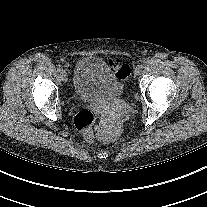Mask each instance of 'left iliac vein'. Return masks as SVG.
Wrapping results in <instances>:
<instances>
[{"instance_id": "obj_1", "label": "left iliac vein", "mask_w": 207, "mask_h": 207, "mask_svg": "<svg viewBox=\"0 0 207 207\" xmlns=\"http://www.w3.org/2000/svg\"><path fill=\"white\" fill-rule=\"evenodd\" d=\"M142 67L140 65H137L134 69V74L138 76L141 73Z\"/></svg>"}]
</instances>
